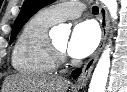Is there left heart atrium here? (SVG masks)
I'll use <instances>...</instances> for the list:
<instances>
[{
	"label": "left heart atrium",
	"mask_w": 127,
	"mask_h": 92,
	"mask_svg": "<svg viewBox=\"0 0 127 92\" xmlns=\"http://www.w3.org/2000/svg\"><path fill=\"white\" fill-rule=\"evenodd\" d=\"M99 38V30L94 22H80L72 31L67 51L74 58L87 57L96 49Z\"/></svg>",
	"instance_id": "obj_1"
}]
</instances>
